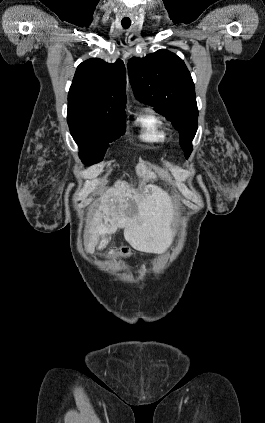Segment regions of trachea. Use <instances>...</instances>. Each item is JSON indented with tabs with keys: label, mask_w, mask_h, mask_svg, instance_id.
I'll return each mask as SVG.
<instances>
[{
	"label": "trachea",
	"mask_w": 265,
	"mask_h": 423,
	"mask_svg": "<svg viewBox=\"0 0 265 423\" xmlns=\"http://www.w3.org/2000/svg\"><path fill=\"white\" fill-rule=\"evenodd\" d=\"M121 25L124 29H128L131 25L130 21H121Z\"/></svg>",
	"instance_id": "trachea-1"
}]
</instances>
